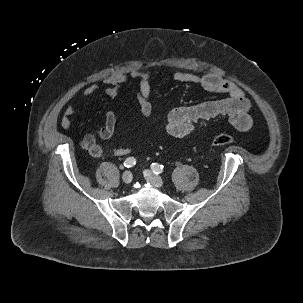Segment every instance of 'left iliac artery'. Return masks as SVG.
<instances>
[{
	"label": "left iliac artery",
	"instance_id": "obj_1",
	"mask_svg": "<svg viewBox=\"0 0 303 303\" xmlns=\"http://www.w3.org/2000/svg\"><path fill=\"white\" fill-rule=\"evenodd\" d=\"M151 169L155 174H160L163 171V165H160L158 163H152Z\"/></svg>",
	"mask_w": 303,
	"mask_h": 303
}]
</instances>
